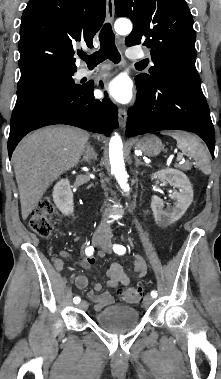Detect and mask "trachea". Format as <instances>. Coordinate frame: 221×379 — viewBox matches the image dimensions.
<instances>
[{"label": "trachea", "instance_id": "3493384b", "mask_svg": "<svg viewBox=\"0 0 221 379\" xmlns=\"http://www.w3.org/2000/svg\"><path fill=\"white\" fill-rule=\"evenodd\" d=\"M100 49L99 51L93 53L92 55H87L86 53L80 54V58L84 60L88 65H98L107 58H109L113 63L117 64L121 60V56L115 45V35L113 34L111 25L106 23L99 34ZM138 64H143L139 62Z\"/></svg>", "mask_w": 221, "mask_h": 379}]
</instances>
